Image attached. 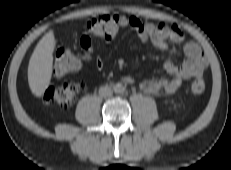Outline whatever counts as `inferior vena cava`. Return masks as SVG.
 Instances as JSON below:
<instances>
[{
	"label": "inferior vena cava",
	"instance_id": "inferior-vena-cava-1",
	"mask_svg": "<svg viewBox=\"0 0 231 170\" xmlns=\"http://www.w3.org/2000/svg\"><path fill=\"white\" fill-rule=\"evenodd\" d=\"M112 94H113V91H112V89H111V87H109V86H103V87H100V89H99V95L101 96V97H110V96H112Z\"/></svg>",
	"mask_w": 231,
	"mask_h": 170
}]
</instances>
